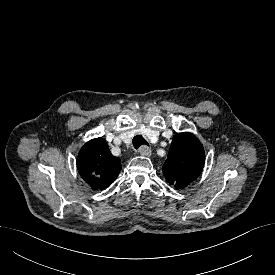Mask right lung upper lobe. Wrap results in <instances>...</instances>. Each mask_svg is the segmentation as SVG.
<instances>
[{"instance_id": "obj_1", "label": "right lung upper lobe", "mask_w": 275, "mask_h": 275, "mask_svg": "<svg viewBox=\"0 0 275 275\" xmlns=\"http://www.w3.org/2000/svg\"><path fill=\"white\" fill-rule=\"evenodd\" d=\"M80 176L93 190L108 187L119 175L120 159L113 156L103 138L92 139L80 150L77 157Z\"/></svg>"}]
</instances>
